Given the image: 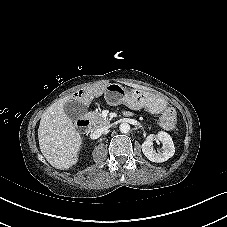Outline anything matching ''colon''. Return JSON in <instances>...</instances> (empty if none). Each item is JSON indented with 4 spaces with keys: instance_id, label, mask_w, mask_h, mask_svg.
Here are the masks:
<instances>
[{
    "instance_id": "1",
    "label": "colon",
    "mask_w": 227,
    "mask_h": 227,
    "mask_svg": "<svg viewBox=\"0 0 227 227\" xmlns=\"http://www.w3.org/2000/svg\"><path fill=\"white\" fill-rule=\"evenodd\" d=\"M92 97H93V98H96V96H95V95H93Z\"/></svg>"
}]
</instances>
